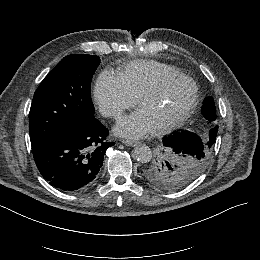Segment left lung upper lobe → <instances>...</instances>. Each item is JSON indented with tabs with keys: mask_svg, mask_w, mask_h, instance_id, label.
<instances>
[{
	"mask_svg": "<svg viewBox=\"0 0 260 260\" xmlns=\"http://www.w3.org/2000/svg\"><path fill=\"white\" fill-rule=\"evenodd\" d=\"M208 105L207 124L195 129L205 142L212 128L217 126L216 106L212 97L205 99ZM205 102V101H204ZM213 146H208L201 155H184L174 152L164 143L159 144L155 156L142 170L144 179L167 191L180 190L194 182L210 163Z\"/></svg>",
	"mask_w": 260,
	"mask_h": 260,
	"instance_id": "obj_1",
	"label": "left lung upper lobe"
}]
</instances>
